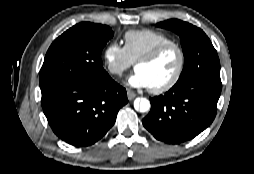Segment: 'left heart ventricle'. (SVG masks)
I'll return each instance as SVG.
<instances>
[{
	"label": "left heart ventricle",
	"instance_id": "obj_1",
	"mask_svg": "<svg viewBox=\"0 0 254 174\" xmlns=\"http://www.w3.org/2000/svg\"><path fill=\"white\" fill-rule=\"evenodd\" d=\"M179 56L175 49H169L151 63L137 65L136 69L142 71L148 78L151 88L167 83L175 74Z\"/></svg>",
	"mask_w": 254,
	"mask_h": 174
}]
</instances>
